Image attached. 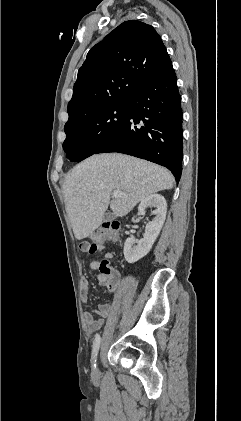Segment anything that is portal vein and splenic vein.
Listing matches in <instances>:
<instances>
[{
  "instance_id": "obj_1",
  "label": "portal vein and splenic vein",
  "mask_w": 241,
  "mask_h": 421,
  "mask_svg": "<svg viewBox=\"0 0 241 421\" xmlns=\"http://www.w3.org/2000/svg\"><path fill=\"white\" fill-rule=\"evenodd\" d=\"M112 196H113L114 198H117V197H119V196H122V193H121V192H118V191H114V192L112 193Z\"/></svg>"
}]
</instances>
